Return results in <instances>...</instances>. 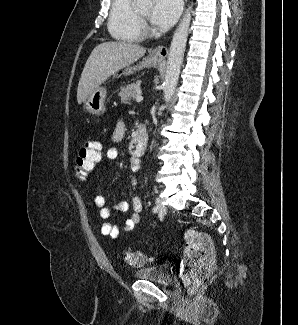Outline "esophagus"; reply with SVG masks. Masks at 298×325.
<instances>
[{"mask_svg": "<svg viewBox=\"0 0 298 325\" xmlns=\"http://www.w3.org/2000/svg\"><path fill=\"white\" fill-rule=\"evenodd\" d=\"M168 49L165 46H158L151 51V57L155 59H163L167 57Z\"/></svg>", "mask_w": 298, "mask_h": 325, "instance_id": "esophagus-1", "label": "esophagus"}]
</instances>
